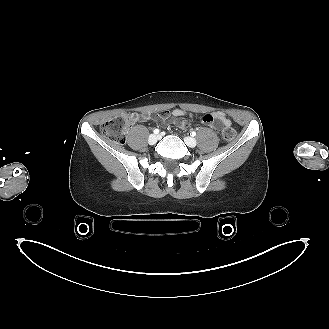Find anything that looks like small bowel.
Returning <instances> with one entry per match:
<instances>
[{
    "instance_id": "1",
    "label": "small bowel",
    "mask_w": 329,
    "mask_h": 329,
    "mask_svg": "<svg viewBox=\"0 0 329 329\" xmlns=\"http://www.w3.org/2000/svg\"><path fill=\"white\" fill-rule=\"evenodd\" d=\"M134 121L136 119H139L141 121H146L149 119V115L143 113V114H133ZM157 118L161 120V122L165 123L167 121H170L172 119H175L181 127L186 128L190 125L189 118H193L194 115L192 113H187L179 108H171V109H165L162 111H159L156 114ZM182 117H186L181 119ZM201 121L210 126L216 127V123L222 124L224 127H231V120L227 117V115L223 112H213L210 114H206L201 118Z\"/></svg>"
}]
</instances>
